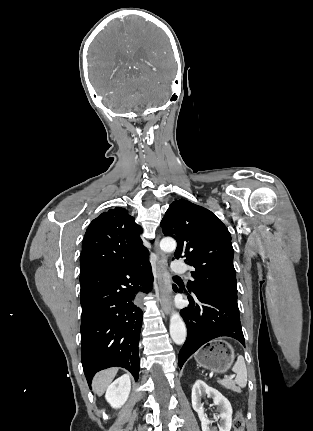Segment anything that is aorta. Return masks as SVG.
<instances>
[{
	"label": "aorta",
	"mask_w": 313,
	"mask_h": 431,
	"mask_svg": "<svg viewBox=\"0 0 313 431\" xmlns=\"http://www.w3.org/2000/svg\"><path fill=\"white\" fill-rule=\"evenodd\" d=\"M176 246V241L173 238H163L160 242V248L164 252H172L176 249ZM170 336L177 345L184 344L186 340V326L177 312H173L170 318Z\"/></svg>",
	"instance_id": "aorta-1"
}]
</instances>
